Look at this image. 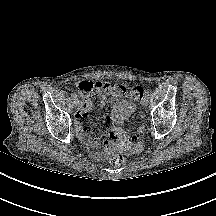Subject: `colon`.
Masks as SVG:
<instances>
[{"mask_svg":"<svg viewBox=\"0 0 216 216\" xmlns=\"http://www.w3.org/2000/svg\"><path fill=\"white\" fill-rule=\"evenodd\" d=\"M78 93L84 99H93L100 93L97 83L83 81L77 85ZM145 90L141 86H135L130 90L131 96L140 101ZM138 117H142L141 108L137 109ZM102 132L108 135L104 142V149L110 154V162L113 165H121L129 160L134 154L142 149V143L137 136L131 134L122 127L114 126L111 122H106L102 127Z\"/></svg>","mask_w":216,"mask_h":216,"instance_id":"1","label":"colon"}]
</instances>
